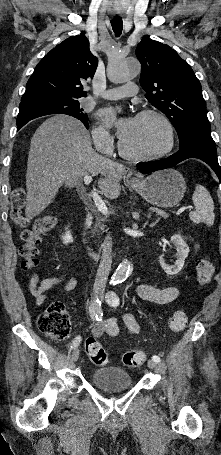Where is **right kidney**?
<instances>
[{
	"label": "right kidney",
	"mask_w": 221,
	"mask_h": 455,
	"mask_svg": "<svg viewBox=\"0 0 221 455\" xmlns=\"http://www.w3.org/2000/svg\"><path fill=\"white\" fill-rule=\"evenodd\" d=\"M62 241L66 245L73 242V237H72L71 232L69 230H67L65 232V234L62 235Z\"/></svg>",
	"instance_id": "1"
}]
</instances>
